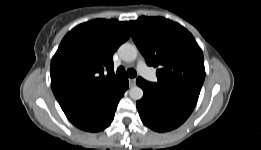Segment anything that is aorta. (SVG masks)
<instances>
[{
	"label": "aorta",
	"mask_w": 261,
	"mask_h": 150,
	"mask_svg": "<svg viewBox=\"0 0 261 150\" xmlns=\"http://www.w3.org/2000/svg\"><path fill=\"white\" fill-rule=\"evenodd\" d=\"M118 53L122 60L132 62L137 58L138 50L136 46L124 43L119 47ZM129 95L133 100H140L143 97V90L138 86H133L129 91Z\"/></svg>",
	"instance_id": "obj_1"
}]
</instances>
